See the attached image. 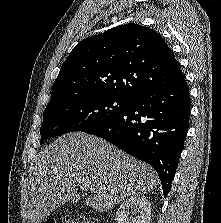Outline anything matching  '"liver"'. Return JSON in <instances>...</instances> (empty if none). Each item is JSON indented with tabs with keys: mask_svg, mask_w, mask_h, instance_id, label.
I'll return each mask as SVG.
<instances>
[{
	"mask_svg": "<svg viewBox=\"0 0 221 223\" xmlns=\"http://www.w3.org/2000/svg\"><path fill=\"white\" fill-rule=\"evenodd\" d=\"M82 182L92 191L86 205L103 212L129 196L153 191L157 174L99 137L84 132L65 134L37 156L28 223H40L75 197Z\"/></svg>",
	"mask_w": 221,
	"mask_h": 223,
	"instance_id": "1",
	"label": "liver"
}]
</instances>
